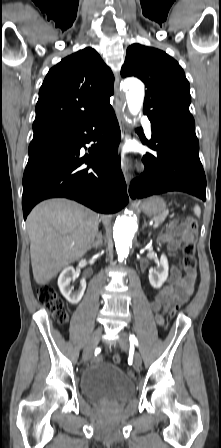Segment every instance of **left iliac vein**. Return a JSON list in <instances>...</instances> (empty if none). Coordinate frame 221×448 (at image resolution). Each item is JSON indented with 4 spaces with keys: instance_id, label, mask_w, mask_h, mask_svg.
Instances as JSON below:
<instances>
[{
    "instance_id": "1",
    "label": "left iliac vein",
    "mask_w": 221,
    "mask_h": 448,
    "mask_svg": "<svg viewBox=\"0 0 221 448\" xmlns=\"http://www.w3.org/2000/svg\"><path fill=\"white\" fill-rule=\"evenodd\" d=\"M118 342H119V345H120V347H121V349L123 351H128L130 344H129V341H128V337H127V335L124 332L120 333V337H119ZM133 361H134L135 367H137V368L141 367L142 358H141V355H140L139 352H135L134 353Z\"/></svg>"
}]
</instances>
